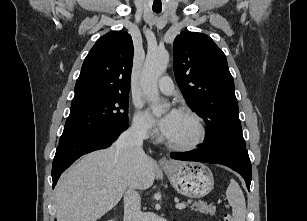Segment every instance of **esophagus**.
<instances>
[{
    "label": "esophagus",
    "mask_w": 307,
    "mask_h": 221,
    "mask_svg": "<svg viewBox=\"0 0 307 221\" xmlns=\"http://www.w3.org/2000/svg\"><path fill=\"white\" fill-rule=\"evenodd\" d=\"M159 165L162 167H167L170 165V162L166 158L159 159Z\"/></svg>",
    "instance_id": "34e87169"
}]
</instances>
